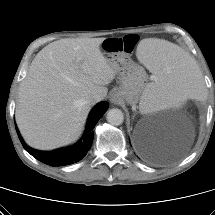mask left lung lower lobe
I'll return each instance as SVG.
<instances>
[{
	"label": "left lung lower lobe",
	"instance_id": "left-lung-lower-lobe-1",
	"mask_svg": "<svg viewBox=\"0 0 215 215\" xmlns=\"http://www.w3.org/2000/svg\"><path fill=\"white\" fill-rule=\"evenodd\" d=\"M139 153H140V155H141L142 157H144V158H145L147 161H149V162H155V161H156L153 157L147 155V154L144 153L143 151H139Z\"/></svg>",
	"mask_w": 215,
	"mask_h": 215
}]
</instances>
